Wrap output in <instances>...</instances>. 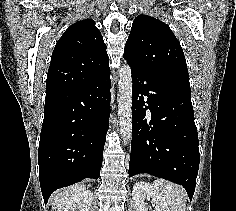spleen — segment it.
<instances>
[{"label": "spleen", "mask_w": 236, "mask_h": 211, "mask_svg": "<svg viewBox=\"0 0 236 211\" xmlns=\"http://www.w3.org/2000/svg\"><path fill=\"white\" fill-rule=\"evenodd\" d=\"M155 191L167 201L171 211H185L187 193L179 185L163 179L155 180Z\"/></svg>", "instance_id": "obj_1"}]
</instances>
